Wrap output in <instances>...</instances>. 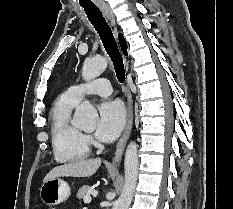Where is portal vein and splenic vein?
Masks as SVG:
<instances>
[{
	"instance_id": "18ae733b",
	"label": "portal vein and splenic vein",
	"mask_w": 233,
	"mask_h": 209,
	"mask_svg": "<svg viewBox=\"0 0 233 209\" xmlns=\"http://www.w3.org/2000/svg\"><path fill=\"white\" fill-rule=\"evenodd\" d=\"M83 201H84L85 204H89V203H91V197L86 196V197H84Z\"/></svg>"
}]
</instances>
